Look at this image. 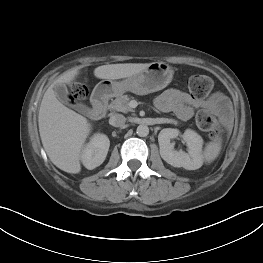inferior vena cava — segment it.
<instances>
[{
  "mask_svg": "<svg viewBox=\"0 0 263 263\" xmlns=\"http://www.w3.org/2000/svg\"><path fill=\"white\" fill-rule=\"evenodd\" d=\"M125 122H126L125 116H123L122 114H118V113L112 115L109 119L110 125L115 126V127H121L125 124Z\"/></svg>",
  "mask_w": 263,
  "mask_h": 263,
  "instance_id": "inferior-vena-cava-1",
  "label": "inferior vena cava"
}]
</instances>
